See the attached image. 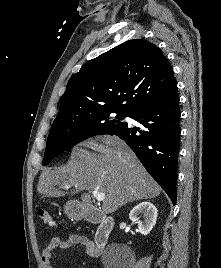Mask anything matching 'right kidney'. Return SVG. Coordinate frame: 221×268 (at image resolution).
Returning <instances> with one entry per match:
<instances>
[{
    "label": "right kidney",
    "instance_id": "obj_1",
    "mask_svg": "<svg viewBox=\"0 0 221 268\" xmlns=\"http://www.w3.org/2000/svg\"><path fill=\"white\" fill-rule=\"evenodd\" d=\"M140 214L143 215L144 221L139 220ZM129 219L138 225L141 234L147 235L156 223L157 208L150 202H141L130 211Z\"/></svg>",
    "mask_w": 221,
    "mask_h": 268
}]
</instances>
